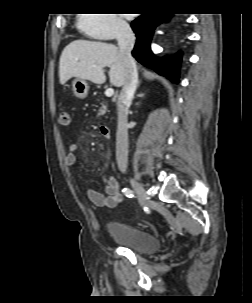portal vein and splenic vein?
Wrapping results in <instances>:
<instances>
[{
    "label": "portal vein and splenic vein",
    "mask_w": 252,
    "mask_h": 303,
    "mask_svg": "<svg viewBox=\"0 0 252 303\" xmlns=\"http://www.w3.org/2000/svg\"><path fill=\"white\" fill-rule=\"evenodd\" d=\"M105 95L107 97H112L114 95V89L112 88H108L106 91H105Z\"/></svg>",
    "instance_id": "1"
}]
</instances>
